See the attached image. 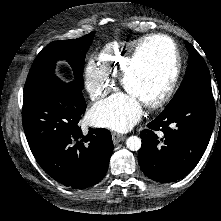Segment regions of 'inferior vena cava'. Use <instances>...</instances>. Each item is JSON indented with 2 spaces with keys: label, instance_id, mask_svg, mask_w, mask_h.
<instances>
[{
  "label": "inferior vena cava",
  "instance_id": "inferior-vena-cava-1",
  "mask_svg": "<svg viewBox=\"0 0 221 221\" xmlns=\"http://www.w3.org/2000/svg\"><path fill=\"white\" fill-rule=\"evenodd\" d=\"M98 96H99V93H98L97 91H94V92H91V93H90V98H91L92 100L97 99Z\"/></svg>",
  "mask_w": 221,
  "mask_h": 221
}]
</instances>
